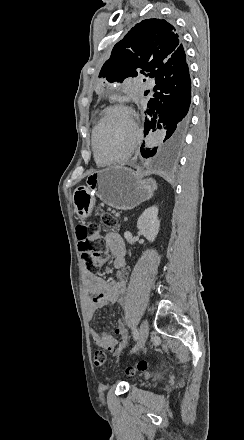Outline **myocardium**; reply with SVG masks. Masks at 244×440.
Here are the masks:
<instances>
[{"mask_svg": "<svg viewBox=\"0 0 244 440\" xmlns=\"http://www.w3.org/2000/svg\"><path fill=\"white\" fill-rule=\"evenodd\" d=\"M113 111H122V112H126V113H129L132 116H134L133 111L129 107H127L123 104H116V105L110 106L104 111L101 122L97 123L98 129H97V132L94 134L95 138H93V143H94V155H95L96 159L102 163H105V164H121L129 158V153L114 158L111 153H109L108 155H102V154H100V152L97 149V147H99V140H100L99 133H101L103 131L102 130L103 124H105L110 113ZM139 134H140V131H139ZM132 139L133 138H129L127 141H122L121 143H117L115 145L116 146L115 149H119L121 146H123L127 142L131 141Z\"/></svg>", "mask_w": 244, "mask_h": 440, "instance_id": "myocardium-1", "label": "myocardium"}]
</instances>
